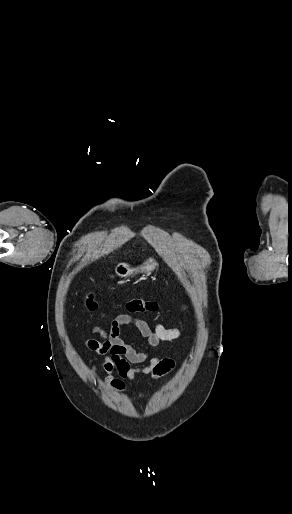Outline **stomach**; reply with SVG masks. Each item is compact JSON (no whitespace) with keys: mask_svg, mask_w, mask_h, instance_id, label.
Returning <instances> with one entry per match:
<instances>
[{"mask_svg":"<svg viewBox=\"0 0 292 514\" xmlns=\"http://www.w3.org/2000/svg\"><path fill=\"white\" fill-rule=\"evenodd\" d=\"M157 266L156 260L148 258L139 268H130L129 264H117L115 274L120 276V278H127V276H132V274H146V276H149L153 270H156Z\"/></svg>","mask_w":292,"mask_h":514,"instance_id":"stomach-1","label":"stomach"}]
</instances>
